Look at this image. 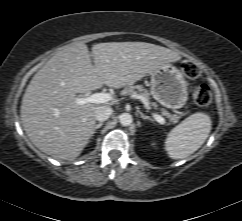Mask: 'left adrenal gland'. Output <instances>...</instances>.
Wrapping results in <instances>:
<instances>
[{
  "mask_svg": "<svg viewBox=\"0 0 242 221\" xmlns=\"http://www.w3.org/2000/svg\"><path fill=\"white\" fill-rule=\"evenodd\" d=\"M140 116H141L142 119H147V120H150V121H154L152 118H150L149 116L144 115L143 113H140Z\"/></svg>",
  "mask_w": 242,
  "mask_h": 221,
  "instance_id": "a2214340",
  "label": "left adrenal gland"
}]
</instances>
